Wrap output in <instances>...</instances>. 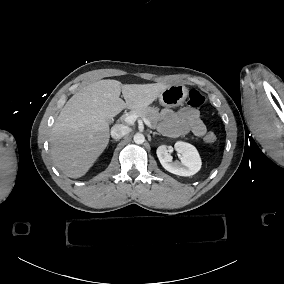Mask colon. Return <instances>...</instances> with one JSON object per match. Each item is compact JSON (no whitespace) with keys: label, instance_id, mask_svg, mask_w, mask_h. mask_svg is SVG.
<instances>
[{"label":"colon","instance_id":"1","mask_svg":"<svg viewBox=\"0 0 284 284\" xmlns=\"http://www.w3.org/2000/svg\"><path fill=\"white\" fill-rule=\"evenodd\" d=\"M205 104V98L199 90L189 89L188 90V105L192 108H200ZM216 139L214 133H208L205 136V142L213 143Z\"/></svg>","mask_w":284,"mask_h":284}]
</instances>
